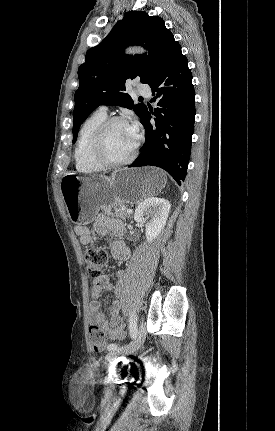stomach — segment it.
Listing matches in <instances>:
<instances>
[{"instance_id": "stomach-1", "label": "stomach", "mask_w": 275, "mask_h": 431, "mask_svg": "<svg viewBox=\"0 0 275 431\" xmlns=\"http://www.w3.org/2000/svg\"><path fill=\"white\" fill-rule=\"evenodd\" d=\"M165 183V174L158 168H125L110 177L65 174L60 191L71 222L84 226L94 220L103 205L136 204L158 194Z\"/></svg>"}]
</instances>
